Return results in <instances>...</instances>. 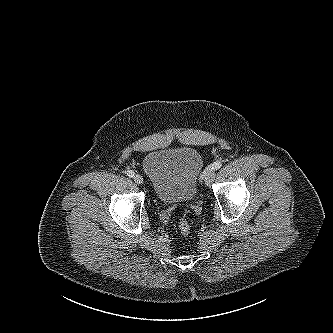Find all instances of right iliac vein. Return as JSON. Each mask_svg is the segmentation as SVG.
<instances>
[{
	"mask_svg": "<svg viewBox=\"0 0 333 333\" xmlns=\"http://www.w3.org/2000/svg\"><path fill=\"white\" fill-rule=\"evenodd\" d=\"M133 179H134V182L136 184H142L143 183V177L139 174H136Z\"/></svg>",
	"mask_w": 333,
	"mask_h": 333,
	"instance_id": "63e3f726",
	"label": "right iliac vein"
}]
</instances>
